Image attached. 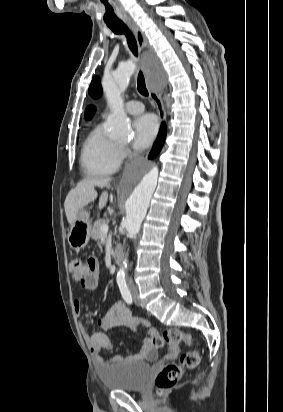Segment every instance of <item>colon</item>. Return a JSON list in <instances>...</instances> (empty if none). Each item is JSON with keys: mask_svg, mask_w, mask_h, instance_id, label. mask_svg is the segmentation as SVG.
<instances>
[{"mask_svg": "<svg viewBox=\"0 0 283 412\" xmlns=\"http://www.w3.org/2000/svg\"><path fill=\"white\" fill-rule=\"evenodd\" d=\"M97 268L98 263L94 257H89L85 262L75 258L70 260L68 264L70 275L76 281H80L88 274L95 272ZM151 340L156 348H161L164 345L177 346L180 344L191 346L193 343L190 334L175 328L167 329L161 334L154 335ZM199 362V353L197 351H188L180 356L177 363L168 364L155 378V386L158 393L162 394L172 388L181 378L185 369L194 368Z\"/></svg>", "mask_w": 283, "mask_h": 412, "instance_id": "5ec220e1", "label": "colon"}]
</instances>
